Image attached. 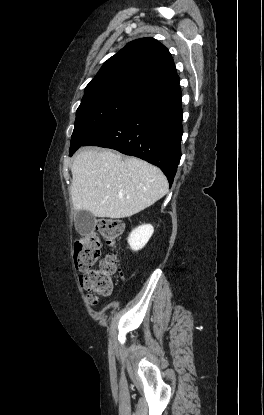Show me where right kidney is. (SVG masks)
Returning <instances> with one entry per match:
<instances>
[{
	"label": "right kidney",
	"instance_id": "ca27d5eb",
	"mask_svg": "<svg viewBox=\"0 0 264 415\" xmlns=\"http://www.w3.org/2000/svg\"><path fill=\"white\" fill-rule=\"evenodd\" d=\"M154 232V228L151 224L141 225L130 233L128 237V244L133 251L142 249Z\"/></svg>",
	"mask_w": 264,
	"mask_h": 415
}]
</instances>
